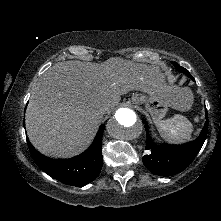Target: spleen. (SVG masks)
<instances>
[{
    "instance_id": "obj_1",
    "label": "spleen",
    "mask_w": 221,
    "mask_h": 221,
    "mask_svg": "<svg viewBox=\"0 0 221 221\" xmlns=\"http://www.w3.org/2000/svg\"><path fill=\"white\" fill-rule=\"evenodd\" d=\"M161 137L173 143L185 142L191 138L192 124L182 115L155 122Z\"/></svg>"
}]
</instances>
